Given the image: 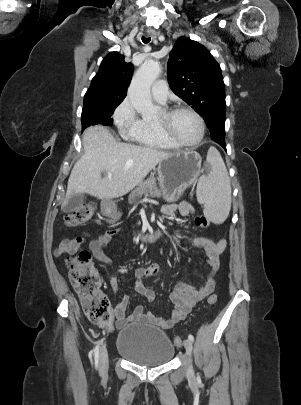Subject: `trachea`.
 Wrapping results in <instances>:
<instances>
[{"label":"trachea","instance_id":"trachea-1","mask_svg":"<svg viewBox=\"0 0 301 405\" xmlns=\"http://www.w3.org/2000/svg\"><path fill=\"white\" fill-rule=\"evenodd\" d=\"M150 40H151V38L142 37L143 43H148V42H150Z\"/></svg>","mask_w":301,"mask_h":405}]
</instances>
